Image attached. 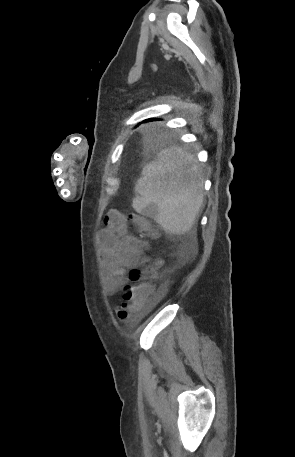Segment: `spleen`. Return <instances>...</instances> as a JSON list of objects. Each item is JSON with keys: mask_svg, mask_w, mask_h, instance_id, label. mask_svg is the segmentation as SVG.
Wrapping results in <instances>:
<instances>
[{"mask_svg": "<svg viewBox=\"0 0 295 457\" xmlns=\"http://www.w3.org/2000/svg\"><path fill=\"white\" fill-rule=\"evenodd\" d=\"M136 212L153 218L167 233L189 231L203 203V179L192 156L180 147L162 150L135 186Z\"/></svg>", "mask_w": 295, "mask_h": 457, "instance_id": "obj_1", "label": "spleen"}]
</instances>
